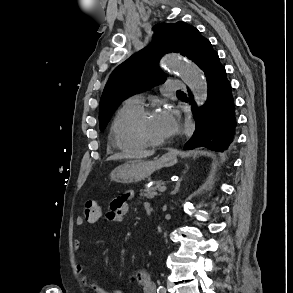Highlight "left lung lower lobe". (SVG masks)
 Segmentation results:
<instances>
[{"label":"left lung lower lobe","mask_w":293,"mask_h":293,"mask_svg":"<svg viewBox=\"0 0 293 293\" xmlns=\"http://www.w3.org/2000/svg\"><path fill=\"white\" fill-rule=\"evenodd\" d=\"M207 79L208 95L205 104L197 108L192 93L181 96L191 105L195 119V131L186 143V149L206 147L223 152L233 140L236 120L231 85L226 77L218 54L209 41L205 43L197 64Z\"/></svg>","instance_id":"0a47b994"}]
</instances>
